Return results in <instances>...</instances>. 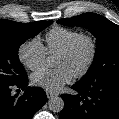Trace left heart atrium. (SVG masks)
<instances>
[{"mask_svg":"<svg viewBox=\"0 0 119 119\" xmlns=\"http://www.w3.org/2000/svg\"><path fill=\"white\" fill-rule=\"evenodd\" d=\"M74 74L66 67L57 69H41L31 76L34 85L50 92L60 90L65 84L72 81Z\"/></svg>","mask_w":119,"mask_h":119,"instance_id":"39dd6f15","label":"left heart atrium"}]
</instances>
